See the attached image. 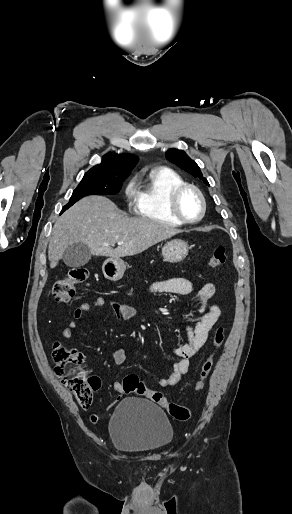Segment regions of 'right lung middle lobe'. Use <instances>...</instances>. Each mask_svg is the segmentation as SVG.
I'll list each match as a JSON object with an SVG mask.
<instances>
[{"mask_svg":"<svg viewBox=\"0 0 292 514\" xmlns=\"http://www.w3.org/2000/svg\"><path fill=\"white\" fill-rule=\"evenodd\" d=\"M125 179L97 178L84 176L80 184L73 191V194L62 210L65 211L79 199L88 195H115L119 193L122 182Z\"/></svg>","mask_w":292,"mask_h":514,"instance_id":"1","label":"right lung middle lobe"}]
</instances>
